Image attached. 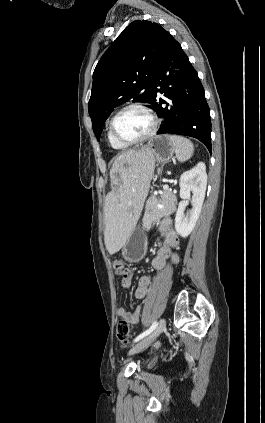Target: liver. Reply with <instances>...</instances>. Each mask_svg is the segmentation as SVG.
<instances>
[{
	"label": "liver",
	"mask_w": 265,
	"mask_h": 423,
	"mask_svg": "<svg viewBox=\"0 0 265 423\" xmlns=\"http://www.w3.org/2000/svg\"><path fill=\"white\" fill-rule=\"evenodd\" d=\"M155 157L143 146L119 155L110 170L112 191L105 199L104 241L109 254L126 243L140 217L154 174Z\"/></svg>",
	"instance_id": "1"
}]
</instances>
